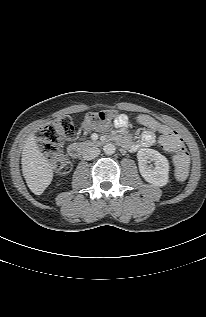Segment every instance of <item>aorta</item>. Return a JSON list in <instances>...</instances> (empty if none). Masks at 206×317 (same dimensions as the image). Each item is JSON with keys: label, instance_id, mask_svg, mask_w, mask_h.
Here are the masks:
<instances>
[{"label": "aorta", "instance_id": "aorta-1", "mask_svg": "<svg viewBox=\"0 0 206 317\" xmlns=\"http://www.w3.org/2000/svg\"><path fill=\"white\" fill-rule=\"evenodd\" d=\"M116 147L112 143H107L106 145L103 146V151L107 155H112L115 153Z\"/></svg>", "mask_w": 206, "mask_h": 317}]
</instances>
